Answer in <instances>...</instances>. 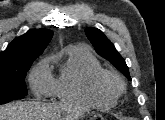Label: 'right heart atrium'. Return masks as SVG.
<instances>
[{
    "label": "right heart atrium",
    "instance_id": "right-heart-atrium-1",
    "mask_svg": "<svg viewBox=\"0 0 165 120\" xmlns=\"http://www.w3.org/2000/svg\"><path fill=\"white\" fill-rule=\"evenodd\" d=\"M31 88L36 94H48L51 92L52 81L46 61L39 63L30 73Z\"/></svg>",
    "mask_w": 165,
    "mask_h": 120
}]
</instances>
